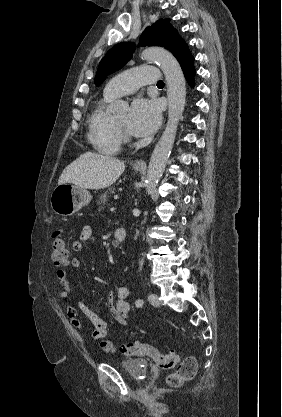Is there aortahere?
I'll return each instance as SVG.
<instances>
[{"mask_svg": "<svg viewBox=\"0 0 282 417\" xmlns=\"http://www.w3.org/2000/svg\"><path fill=\"white\" fill-rule=\"evenodd\" d=\"M141 56L148 58V60H154L162 68L166 78L168 98V122L151 154L147 170L146 190L149 194L160 180L173 148L178 122L185 106L186 80L177 58L166 48L150 46L141 52ZM128 106V102H124V100H115L113 110L114 112H123V110H128Z\"/></svg>", "mask_w": 282, "mask_h": 417, "instance_id": "762f6f07", "label": "aorta"}]
</instances>
